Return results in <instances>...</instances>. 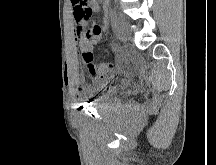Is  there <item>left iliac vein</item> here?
Returning a JSON list of instances; mask_svg holds the SVG:
<instances>
[{"instance_id": "obj_1", "label": "left iliac vein", "mask_w": 216, "mask_h": 165, "mask_svg": "<svg viewBox=\"0 0 216 165\" xmlns=\"http://www.w3.org/2000/svg\"><path fill=\"white\" fill-rule=\"evenodd\" d=\"M115 32L118 38H120L121 40L126 41L129 39V24L123 17H119L117 19L115 25Z\"/></svg>"}]
</instances>
